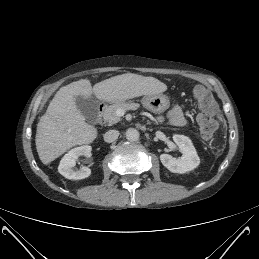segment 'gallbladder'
I'll return each mask as SVG.
<instances>
[{
    "label": "gallbladder",
    "mask_w": 259,
    "mask_h": 259,
    "mask_svg": "<svg viewBox=\"0 0 259 259\" xmlns=\"http://www.w3.org/2000/svg\"><path fill=\"white\" fill-rule=\"evenodd\" d=\"M75 103L87 121L94 122L96 120L98 114V101L95 97L91 96L85 98L83 96H77L75 97Z\"/></svg>",
    "instance_id": "1"
}]
</instances>
